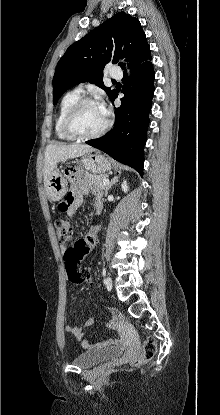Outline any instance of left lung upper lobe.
I'll use <instances>...</instances> for the list:
<instances>
[{
  "instance_id": "1",
  "label": "left lung upper lobe",
  "mask_w": 220,
  "mask_h": 415,
  "mask_svg": "<svg viewBox=\"0 0 220 415\" xmlns=\"http://www.w3.org/2000/svg\"><path fill=\"white\" fill-rule=\"evenodd\" d=\"M150 57V46L140 22L119 12L66 50L53 78V104L63 92L81 82L99 86L111 98L115 90L106 87L102 81L105 65L126 58L132 68Z\"/></svg>"
}]
</instances>
